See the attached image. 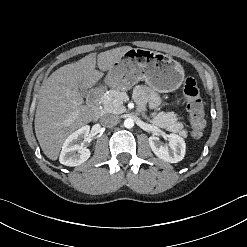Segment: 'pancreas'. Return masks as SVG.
I'll return each instance as SVG.
<instances>
[{"label":"pancreas","instance_id":"cf45deb5","mask_svg":"<svg viewBox=\"0 0 247 247\" xmlns=\"http://www.w3.org/2000/svg\"><path fill=\"white\" fill-rule=\"evenodd\" d=\"M126 99L127 95L125 92L111 89L103 95L101 102L106 112L120 114L124 111L123 102ZM151 118L149 121L155 126L165 128L167 131L173 133H178L184 138L188 136L187 130L178 121L179 118L174 112L152 113Z\"/></svg>","mask_w":247,"mask_h":247}]
</instances>
